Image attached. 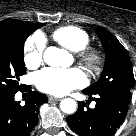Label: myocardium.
Returning <instances> with one entry per match:
<instances>
[{
	"mask_svg": "<svg viewBox=\"0 0 136 136\" xmlns=\"http://www.w3.org/2000/svg\"><path fill=\"white\" fill-rule=\"evenodd\" d=\"M77 56L90 73H96L101 69L103 55L99 50L85 47L77 51Z\"/></svg>",
	"mask_w": 136,
	"mask_h": 136,
	"instance_id": "myocardium-1",
	"label": "myocardium"
}]
</instances>
